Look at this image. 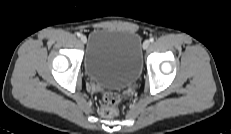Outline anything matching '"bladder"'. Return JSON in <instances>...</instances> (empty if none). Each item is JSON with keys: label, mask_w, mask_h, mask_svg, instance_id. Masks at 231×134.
<instances>
[{"label": "bladder", "mask_w": 231, "mask_h": 134, "mask_svg": "<svg viewBox=\"0 0 231 134\" xmlns=\"http://www.w3.org/2000/svg\"><path fill=\"white\" fill-rule=\"evenodd\" d=\"M142 41L130 30L95 29L88 38L84 69L89 80L107 88H126L142 71Z\"/></svg>", "instance_id": "bladder-1"}]
</instances>
